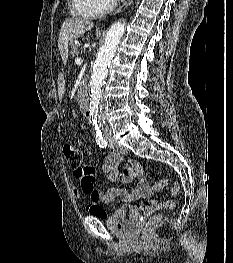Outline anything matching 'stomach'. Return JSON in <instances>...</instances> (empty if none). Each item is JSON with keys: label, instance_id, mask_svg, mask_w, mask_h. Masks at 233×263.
Listing matches in <instances>:
<instances>
[{"label": "stomach", "instance_id": "obj_1", "mask_svg": "<svg viewBox=\"0 0 233 263\" xmlns=\"http://www.w3.org/2000/svg\"><path fill=\"white\" fill-rule=\"evenodd\" d=\"M55 81L59 84V91H66L67 88H70V83H68L65 77H56Z\"/></svg>", "mask_w": 233, "mask_h": 263}]
</instances>
